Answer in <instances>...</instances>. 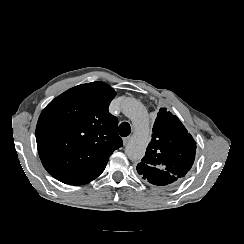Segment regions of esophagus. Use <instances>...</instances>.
<instances>
[{"instance_id":"esophagus-1","label":"esophagus","mask_w":244,"mask_h":244,"mask_svg":"<svg viewBox=\"0 0 244 244\" xmlns=\"http://www.w3.org/2000/svg\"><path fill=\"white\" fill-rule=\"evenodd\" d=\"M130 140H131V136H127V137H125V138L123 139V145H124V146H127L128 143L130 142Z\"/></svg>"}]
</instances>
